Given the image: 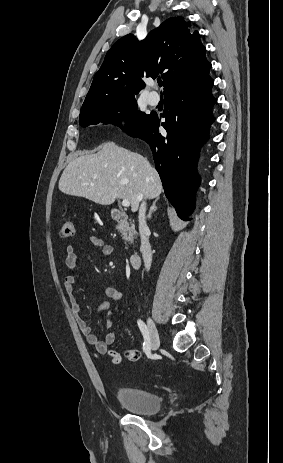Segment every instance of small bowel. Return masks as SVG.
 <instances>
[{
  "mask_svg": "<svg viewBox=\"0 0 283 463\" xmlns=\"http://www.w3.org/2000/svg\"><path fill=\"white\" fill-rule=\"evenodd\" d=\"M90 242L92 245L97 247L102 255L109 256L113 252V248L110 244L106 243L102 238L96 235L90 236ZM78 254L75 251L73 245L66 246V259L65 264L69 270V273L66 275L64 280V289L68 295L70 307L75 315L77 324L82 332V334L86 337L87 342L94 346L95 350L99 354H107L110 357V361L112 364H119L122 360V354L116 351L113 348L114 343L117 339V332L114 329V320L109 315L108 310L110 307V302L105 301L98 306V311L102 313H107L106 316V327L108 332L104 338V340H99L97 335L92 332V327L90 324L85 321L82 317H80V309L81 305L78 299L74 295V283H75V276L74 270L78 264ZM104 294L108 296L112 302H120L124 298V293L116 288L108 287L104 290ZM125 358L130 362H135L140 358V353L137 349H128L124 353Z\"/></svg>",
  "mask_w": 283,
  "mask_h": 463,
  "instance_id": "small-bowel-1",
  "label": "small bowel"
}]
</instances>
